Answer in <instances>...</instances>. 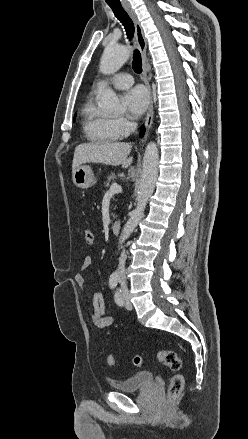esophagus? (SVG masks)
<instances>
[{"mask_svg":"<svg viewBox=\"0 0 248 439\" xmlns=\"http://www.w3.org/2000/svg\"><path fill=\"white\" fill-rule=\"evenodd\" d=\"M124 9L131 17V19L134 23V26H135L136 42H137V45H138V48L140 50L141 57H142L143 80H144V82L148 88V92H149L150 104H149L147 116L145 119V127L148 130L152 126V123H153L154 106H153L152 90H151V85H150L151 76L149 75L150 65H149V61L147 58V42H146V39L144 37L142 26H141V24L136 16L134 10L132 9V7L128 4H125Z\"/></svg>","mask_w":248,"mask_h":439,"instance_id":"34e87169","label":"esophagus"}]
</instances>
